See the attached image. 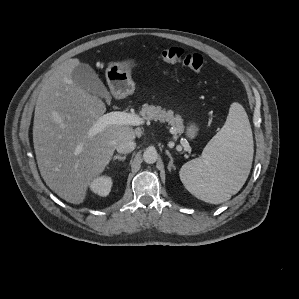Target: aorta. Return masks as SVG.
<instances>
[{"label":"aorta","mask_w":299,"mask_h":299,"mask_svg":"<svg viewBox=\"0 0 299 299\" xmlns=\"http://www.w3.org/2000/svg\"><path fill=\"white\" fill-rule=\"evenodd\" d=\"M143 159L148 164H153L158 159V153L155 148H147L143 153Z\"/></svg>","instance_id":"aorta-1"}]
</instances>
